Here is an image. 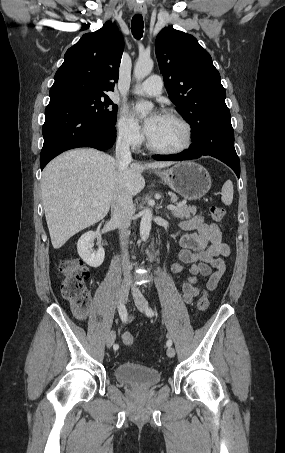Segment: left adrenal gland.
Masks as SVG:
<instances>
[{
  "instance_id": "obj_1",
  "label": "left adrenal gland",
  "mask_w": 285,
  "mask_h": 453,
  "mask_svg": "<svg viewBox=\"0 0 285 453\" xmlns=\"http://www.w3.org/2000/svg\"><path fill=\"white\" fill-rule=\"evenodd\" d=\"M167 218L170 219V217L166 214Z\"/></svg>"
}]
</instances>
